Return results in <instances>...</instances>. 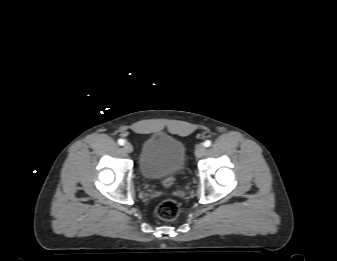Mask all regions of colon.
Here are the masks:
<instances>
[{
	"label": "colon",
	"mask_w": 337,
	"mask_h": 261,
	"mask_svg": "<svg viewBox=\"0 0 337 261\" xmlns=\"http://www.w3.org/2000/svg\"><path fill=\"white\" fill-rule=\"evenodd\" d=\"M175 180L173 177L165 179L162 185L166 188L171 187L174 184ZM180 205L176 200L167 199L161 201L156 207V214L162 220H174L180 214Z\"/></svg>",
	"instance_id": "1"
}]
</instances>
